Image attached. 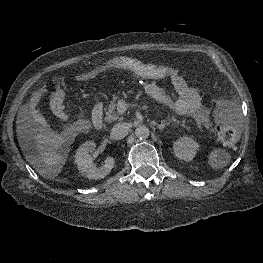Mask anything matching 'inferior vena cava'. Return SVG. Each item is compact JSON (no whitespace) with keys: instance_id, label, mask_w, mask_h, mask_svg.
<instances>
[{"instance_id":"obj_1","label":"inferior vena cava","mask_w":263,"mask_h":263,"mask_svg":"<svg viewBox=\"0 0 263 263\" xmlns=\"http://www.w3.org/2000/svg\"><path fill=\"white\" fill-rule=\"evenodd\" d=\"M129 132V127L126 123H118L111 129V137L117 140L123 139Z\"/></svg>"}]
</instances>
